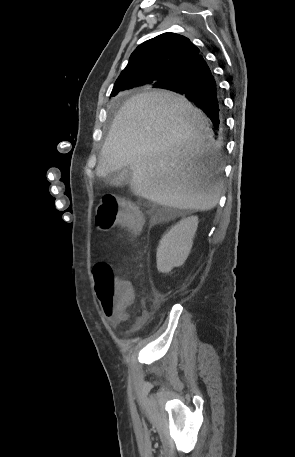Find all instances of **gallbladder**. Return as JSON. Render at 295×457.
Instances as JSON below:
<instances>
[{
	"label": "gallbladder",
	"mask_w": 295,
	"mask_h": 457,
	"mask_svg": "<svg viewBox=\"0 0 295 457\" xmlns=\"http://www.w3.org/2000/svg\"><path fill=\"white\" fill-rule=\"evenodd\" d=\"M131 175V169L129 167H125L120 171L109 174L106 177V180L110 185L119 187L128 184L131 180Z\"/></svg>",
	"instance_id": "1"
}]
</instances>
